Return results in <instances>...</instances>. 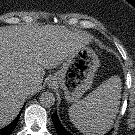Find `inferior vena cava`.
<instances>
[{
    "instance_id": "1",
    "label": "inferior vena cava",
    "mask_w": 135,
    "mask_h": 135,
    "mask_svg": "<svg viewBox=\"0 0 135 135\" xmlns=\"http://www.w3.org/2000/svg\"><path fill=\"white\" fill-rule=\"evenodd\" d=\"M32 87H33V85L30 84V85L27 86L26 90L29 91Z\"/></svg>"
}]
</instances>
